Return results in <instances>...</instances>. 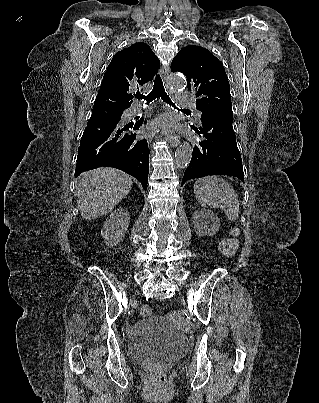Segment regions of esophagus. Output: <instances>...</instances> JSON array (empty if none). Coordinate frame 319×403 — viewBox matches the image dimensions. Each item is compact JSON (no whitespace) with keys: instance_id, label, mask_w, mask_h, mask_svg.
<instances>
[{"instance_id":"obj_1","label":"esophagus","mask_w":319,"mask_h":403,"mask_svg":"<svg viewBox=\"0 0 319 403\" xmlns=\"http://www.w3.org/2000/svg\"><path fill=\"white\" fill-rule=\"evenodd\" d=\"M169 66L168 65H163L160 69V75L164 81L167 80L168 74H169ZM166 140L172 147H177L180 143V138L174 134H167Z\"/></svg>"}]
</instances>
